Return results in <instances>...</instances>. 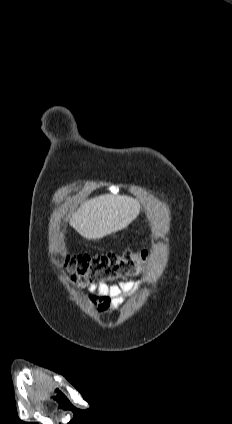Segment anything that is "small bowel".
<instances>
[{"mask_svg":"<svg viewBox=\"0 0 232 424\" xmlns=\"http://www.w3.org/2000/svg\"><path fill=\"white\" fill-rule=\"evenodd\" d=\"M140 287V283L134 281H124L117 284H94L89 286L90 294L87 296V303L96 306L100 316L105 315L110 310L119 307L125 297L129 296Z\"/></svg>","mask_w":232,"mask_h":424,"instance_id":"c3829d8e","label":"small bowel"}]
</instances>
